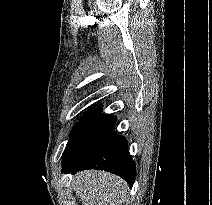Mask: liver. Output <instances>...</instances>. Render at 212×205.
Returning a JSON list of instances; mask_svg holds the SVG:
<instances>
[{"mask_svg": "<svg viewBox=\"0 0 212 205\" xmlns=\"http://www.w3.org/2000/svg\"><path fill=\"white\" fill-rule=\"evenodd\" d=\"M73 185L82 205H122L129 189L118 176L95 170L75 174Z\"/></svg>", "mask_w": 212, "mask_h": 205, "instance_id": "1", "label": "liver"}]
</instances>
